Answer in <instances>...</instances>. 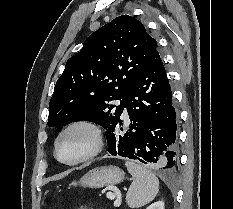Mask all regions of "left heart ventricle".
<instances>
[{
    "instance_id": "obj_1",
    "label": "left heart ventricle",
    "mask_w": 233,
    "mask_h": 209,
    "mask_svg": "<svg viewBox=\"0 0 233 209\" xmlns=\"http://www.w3.org/2000/svg\"><path fill=\"white\" fill-rule=\"evenodd\" d=\"M93 144L92 134L83 128L67 132L59 143L58 154L62 160L72 161L84 155Z\"/></svg>"
}]
</instances>
